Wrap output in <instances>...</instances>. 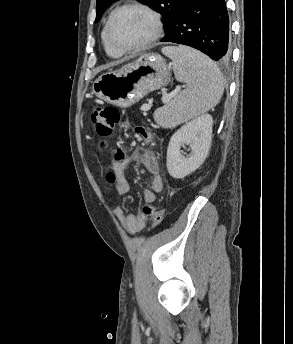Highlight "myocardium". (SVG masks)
I'll list each match as a JSON object with an SVG mask.
<instances>
[{"instance_id":"1","label":"myocardium","mask_w":293,"mask_h":344,"mask_svg":"<svg viewBox=\"0 0 293 344\" xmlns=\"http://www.w3.org/2000/svg\"><path fill=\"white\" fill-rule=\"evenodd\" d=\"M126 9H137V10L144 12L150 18L152 29H151V33L149 34V36L144 41H142L141 43L136 44L134 46H130V47H119V46L115 45L114 42L112 41L111 26H112V23H113L115 16L119 12L126 10ZM161 33H162V20H161L159 13L157 11H155L153 8H151L150 6H148L144 3H141V2H137V1H129V2L123 3L120 6L116 7L110 13L108 20H107V23L105 25V38H106L107 44L115 52L122 54V55L126 54V53H133V52L141 51V50L149 47L151 44H153L155 41H157L159 39V37L161 36Z\"/></svg>"}]
</instances>
